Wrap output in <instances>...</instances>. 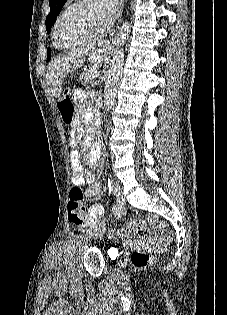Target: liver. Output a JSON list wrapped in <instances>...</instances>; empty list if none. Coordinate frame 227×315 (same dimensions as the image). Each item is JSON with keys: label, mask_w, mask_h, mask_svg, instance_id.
Wrapping results in <instances>:
<instances>
[{"label": "liver", "mask_w": 227, "mask_h": 315, "mask_svg": "<svg viewBox=\"0 0 227 315\" xmlns=\"http://www.w3.org/2000/svg\"><path fill=\"white\" fill-rule=\"evenodd\" d=\"M85 54L82 50H74L50 62L46 80L54 97H60L64 78L83 64ZM98 58H100L98 54L93 55L94 60Z\"/></svg>", "instance_id": "6515ba94"}]
</instances>
